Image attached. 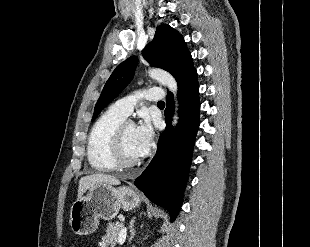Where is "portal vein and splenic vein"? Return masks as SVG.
<instances>
[{
	"label": "portal vein and splenic vein",
	"mask_w": 310,
	"mask_h": 247,
	"mask_svg": "<svg viewBox=\"0 0 310 247\" xmlns=\"http://www.w3.org/2000/svg\"><path fill=\"white\" fill-rule=\"evenodd\" d=\"M126 235H127V230L126 228H123L121 231H120V234H119V238H118V243L119 244H123L126 240Z\"/></svg>",
	"instance_id": "portal-vein-and-splenic-vein-1"
}]
</instances>
